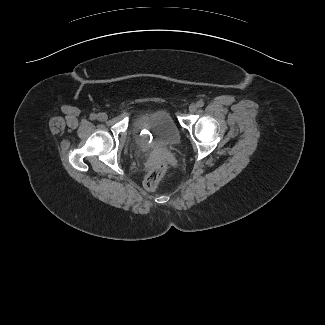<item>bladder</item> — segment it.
<instances>
[{
  "mask_svg": "<svg viewBox=\"0 0 325 325\" xmlns=\"http://www.w3.org/2000/svg\"><path fill=\"white\" fill-rule=\"evenodd\" d=\"M136 140L161 147H173L179 144V128L165 109L146 112L139 116L133 125Z\"/></svg>",
  "mask_w": 325,
  "mask_h": 325,
  "instance_id": "obj_1",
  "label": "bladder"
}]
</instances>
